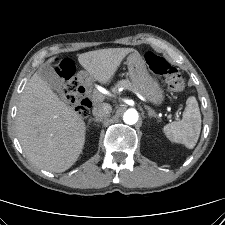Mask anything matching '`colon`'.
<instances>
[{
  "mask_svg": "<svg viewBox=\"0 0 225 225\" xmlns=\"http://www.w3.org/2000/svg\"><path fill=\"white\" fill-rule=\"evenodd\" d=\"M145 60L152 72L164 76L170 92L179 93L184 90L185 82L181 73L165 58L153 52H147ZM57 69L63 81V90L67 100L81 117L88 116L91 101L82 94L79 82L75 77L74 63L69 59L62 60L58 63Z\"/></svg>",
  "mask_w": 225,
  "mask_h": 225,
  "instance_id": "obj_1",
  "label": "colon"
}]
</instances>
